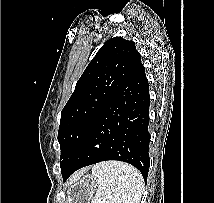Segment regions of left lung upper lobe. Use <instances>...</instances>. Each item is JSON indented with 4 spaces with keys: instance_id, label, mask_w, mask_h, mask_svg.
Masks as SVG:
<instances>
[{
    "instance_id": "1",
    "label": "left lung upper lobe",
    "mask_w": 214,
    "mask_h": 203,
    "mask_svg": "<svg viewBox=\"0 0 214 203\" xmlns=\"http://www.w3.org/2000/svg\"><path fill=\"white\" fill-rule=\"evenodd\" d=\"M141 64L133 41L108 40L86 67L61 112L58 142L63 174L81 148L89 129Z\"/></svg>"
}]
</instances>
